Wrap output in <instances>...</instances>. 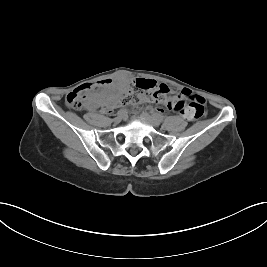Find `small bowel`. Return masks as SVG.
<instances>
[{
    "instance_id": "obj_1",
    "label": "small bowel",
    "mask_w": 267,
    "mask_h": 267,
    "mask_svg": "<svg viewBox=\"0 0 267 267\" xmlns=\"http://www.w3.org/2000/svg\"><path fill=\"white\" fill-rule=\"evenodd\" d=\"M102 85H106L105 82H101ZM95 87V85H86L84 86L85 90H89L91 88ZM117 97L116 94H111L108 96H100V95H95L91 97L89 102L87 103V107L89 109H100L102 112H108L109 109L114 105L113 100ZM183 100L181 93L176 94L171 97L170 103L168 104V107L172 110L175 111V106L179 104ZM188 119V118H186ZM192 120V119H188Z\"/></svg>"
}]
</instances>
